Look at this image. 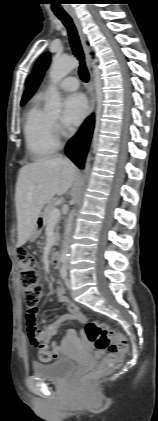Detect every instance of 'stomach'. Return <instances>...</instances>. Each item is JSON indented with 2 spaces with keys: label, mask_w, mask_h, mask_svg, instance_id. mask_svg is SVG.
Instances as JSON below:
<instances>
[{
  "label": "stomach",
  "mask_w": 158,
  "mask_h": 421,
  "mask_svg": "<svg viewBox=\"0 0 158 421\" xmlns=\"http://www.w3.org/2000/svg\"><path fill=\"white\" fill-rule=\"evenodd\" d=\"M42 226H43V221L40 218H38L32 232H31V235L29 237L30 241H35L38 238V236H39V234L42 230Z\"/></svg>",
  "instance_id": "obj_1"
}]
</instances>
